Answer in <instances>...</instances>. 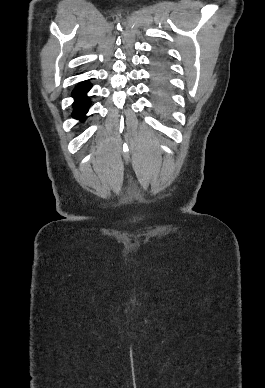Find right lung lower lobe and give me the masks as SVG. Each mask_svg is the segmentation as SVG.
I'll return each instance as SVG.
<instances>
[{"label":"right lung lower lobe","mask_w":265,"mask_h":388,"mask_svg":"<svg viewBox=\"0 0 265 388\" xmlns=\"http://www.w3.org/2000/svg\"><path fill=\"white\" fill-rule=\"evenodd\" d=\"M91 84L89 82L82 83L78 85L72 92V96L75 99L73 103V113L74 118L84 120V116L89 109L90 99L86 96V93L90 90Z\"/></svg>","instance_id":"1"}]
</instances>
